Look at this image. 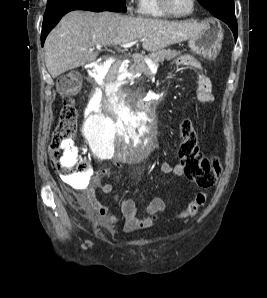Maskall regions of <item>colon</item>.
Listing matches in <instances>:
<instances>
[{"label": "colon", "mask_w": 267, "mask_h": 298, "mask_svg": "<svg viewBox=\"0 0 267 298\" xmlns=\"http://www.w3.org/2000/svg\"><path fill=\"white\" fill-rule=\"evenodd\" d=\"M58 89L62 97V107L50 146L52 166L59 175L78 179L87 174L89 167L87 158L75 156L65 161L63 157L73 142L77 128V110L73 98L80 89L79 75L76 73L64 74L58 80ZM179 136L181 143L178 154L186 176L202 188L213 186L221 170L219 158L207 157L202 153L190 119L184 118L180 121ZM205 200L206 194L199 192L179 217L188 218L196 215Z\"/></svg>", "instance_id": "obj_1"}]
</instances>
